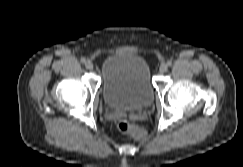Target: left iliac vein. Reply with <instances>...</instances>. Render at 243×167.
I'll return each instance as SVG.
<instances>
[{
    "label": "left iliac vein",
    "mask_w": 243,
    "mask_h": 167,
    "mask_svg": "<svg viewBox=\"0 0 243 167\" xmlns=\"http://www.w3.org/2000/svg\"><path fill=\"white\" fill-rule=\"evenodd\" d=\"M167 69H168V66H167L165 63L161 64L160 67H159V71H160L161 73L166 72Z\"/></svg>",
    "instance_id": "obj_1"
}]
</instances>
